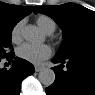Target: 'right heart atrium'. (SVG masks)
Returning <instances> with one entry per match:
<instances>
[{
  "label": "right heart atrium",
  "mask_w": 95,
  "mask_h": 95,
  "mask_svg": "<svg viewBox=\"0 0 95 95\" xmlns=\"http://www.w3.org/2000/svg\"><path fill=\"white\" fill-rule=\"evenodd\" d=\"M23 25H24V21L20 20L11 29V40H12V42L19 43L21 41Z\"/></svg>",
  "instance_id": "1"
}]
</instances>
